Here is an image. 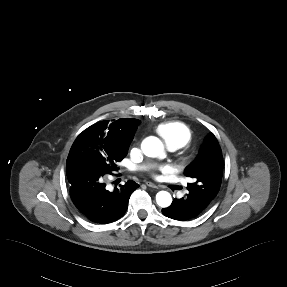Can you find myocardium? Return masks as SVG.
<instances>
[{
	"label": "myocardium",
	"mask_w": 287,
	"mask_h": 287,
	"mask_svg": "<svg viewBox=\"0 0 287 287\" xmlns=\"http://www.w3.org/2000/svg\"><path fill=\"white\" fill-rule=\"evenodd\" d=\"M182 163H186L188 160V156L181 157Z\"/></svg>",
	"instance_id": "obj_1"
}]
</instances>
